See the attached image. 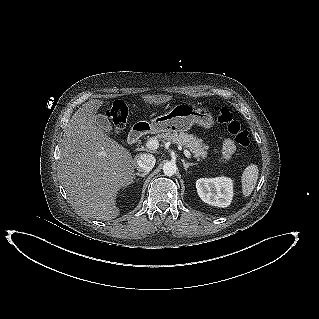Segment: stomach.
Masks as SVG:
<instances>
[{
	"label": "stomach",
	"mask_w": 319,
	"mask_h": 319,
	"mask_svg": "<svg viewBox=\"0 0 319 319\" xmlns=\"http://www.w3.org/2000/svg\"><path fill=\"white\" fill-rule=\"evenodd\" d=\"M194 124L210 129L214 125L212 114L191 102H179L166 114L151 120L150 127L155 133H182Z\"/></svg>",
	"instance_id": "1"
}]
</instances>
